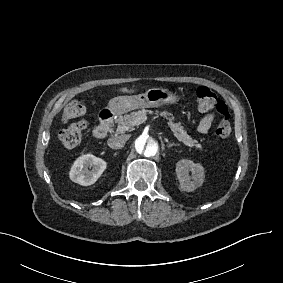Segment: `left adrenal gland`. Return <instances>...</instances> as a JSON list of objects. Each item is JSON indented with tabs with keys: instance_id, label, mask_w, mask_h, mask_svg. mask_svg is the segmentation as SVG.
Segmentation results:
<instances>
[{
	"instance_id": "left-adrenal-gland-1",
	"label": "left adrenal gland",
	"mask_w": 283,
	"mask_h": 283,
	"mask_svg": "<svg viewBox=\"0 0 283 283\" xmlns=\"http://www.w3.org/2000/svg\"><path fill=\"white\" fill-rule=\"evenodd\" d=\"M180 144H175V143H170L167 145V147H172V146H179Z\"/></svg>"
}]
</instances>
